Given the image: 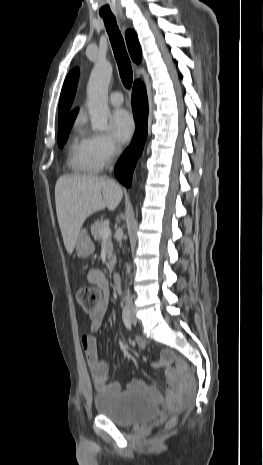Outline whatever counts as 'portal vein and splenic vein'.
Returning <instances> with one entry per match:
<instances>
[{
	"mask_svg": "<svg viewBox=\"0 0 263 465\" xmlns=\"http://www.w3.org/2000/svg\"><path fill=\"white\" fill-rule=\"evenodd\" d=\"M111 235V230L108 225H105L101 230H100V236L103 239L108 238Z\"/></svg>",
	"mask_w": 263,
	"mask_h": 465,
	"instance_id": "18ae733b",
	"label": "portal vein and splenic vein"
}]
</instances>
